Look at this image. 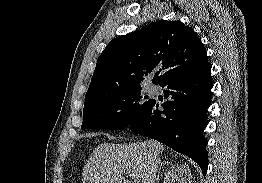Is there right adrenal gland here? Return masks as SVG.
Returning a JSON list of instances; mask_svg holds the SVG:
<instances>
[{"instance_id":"1","label":"right adrenal gland","mask_w":262,"mask_h":183,"mask_svg":"<svg viewBox=\"0 0 262 183\" xmlns=\"http://www.w3.org/2000/svg\"><path fill=\"white\" fill-rule=\"evenodd\" d=\"M165 164H169V162L159 161V170H160ZM158 174H159V172H158ZM158 177H159V175H158Z\"/></svg>"}]
</instances>
